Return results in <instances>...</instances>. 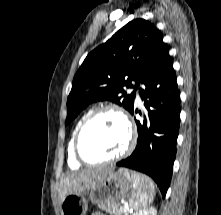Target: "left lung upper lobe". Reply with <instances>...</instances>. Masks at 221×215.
Instances as JSON below:
<instances>
[{"instance_id":"1","label":"left lung upper lobe","mask_w":221,"mask_h":215,"mask_svg":"<svg viewBox=\"0 0 221 215\" xmlns=\"http://www.w3.org/2000/svg\"><path fill=\"white\" fill-rule=\"evenodd\" d=\"M162 34L154 24L135 19L118 30L106 43L91 51L80 66L67 100L70 123L90 103L110 100L129 112L134 107L135 91L163 45Z\"/></svg>"}]
</instances>
